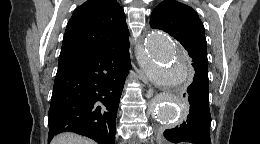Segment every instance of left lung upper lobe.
Wrapping results in <instances>:
<instances>
[{
	"mask_svg": "<svg viewBox=\"0 0 260 144\" xmlns=\"http://www.w3.org/2000/svg\"><path fill=\"white\" fill-rule=\"evenodd\" d=\"M150 26L169 33L183 45L188 54H197L207 60L204 26L190 6L178 1H162L151 13Z\"/></svg>",
	"mask_w": 260,
	"mask_h": 144,
	"instance_id": "5c2ea615",
	"label": "left lung upper lobe"
}]
</instances>
